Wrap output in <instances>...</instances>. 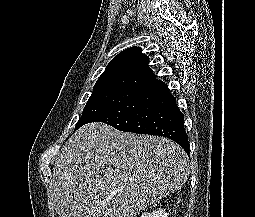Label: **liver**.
<instances>
[{
    "mask_svg": "<svg viewBox=\"0 0 255 217\" xmlns=\"http://www.w3.org/2000/svg\"><path fill=\"white\" fill-rule=\"evenodd\" d=\"M52 172L50 202L60 217H136L181 188L190 165L167 138L90 123L68 139Z\"/></svg>",
    "mask_w": 255,
    "mask_h": 217,
    "instance_id": "obj_1",
    "label": "liver"
}]
</instances>
